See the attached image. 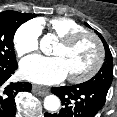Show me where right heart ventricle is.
I'll return each mask as SVG.
<instances>
[{
  "mask_svg": "<svg viewBox=\"0 0 117 117\" xmlns=\"http://www.w3.org/2000/svg\"><path fill=\"white\" fill-rule=\"evenodd\" d=\"M49 33L55 35L59 39L70 33L85 30L83 26L74 20L66 17H56L46 22Z\"/></svg>",
  "mask_w": 117,
  "mask_h": 117,
  "instance_id": "e07e8e85",
  "label": "right heart ventricle"
}]
</instances>
